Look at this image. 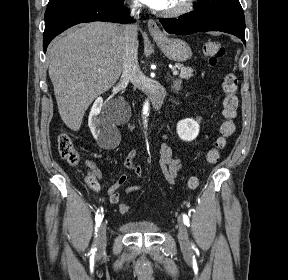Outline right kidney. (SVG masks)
<instances>
[{
    "label": "right kidney",
    "instance_id": "right-kidney-1",
    "mask_svg": "<svg viewBox=\"0 0 288 280\" xmlns=\"http://www.w3.org/2000/svg\"><path fill=\"white\" fill-rule=\"evenodd\" d=\"M103 99L97 98L92 106L88 118V125L93 137L102 148H110L112 140L116 134V130L111 125H108L101 110Z\"/></svg>",
    "mask_w": 288,
    "mask_h": 280
}]
</instances>
